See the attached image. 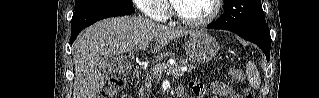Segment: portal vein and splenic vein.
<instances>
[{
    "label": "portal vein and splenic vein",
    "instance_id": "18ae733b",
    "mask_svg": "<svg viewBox=\"0 0 319 98\" xmlns=\"http://www.w3.org/2000/svg\"><path fill=\"white\" fill-rule=\"evenodd\" d=\"M148 44L149 42H143L142 44H140L138 49L143 50L148 46ZM162 71H168L176 77L181 76L183 74L182 70L174 66H170L169 64H159L154 68V72L156 75H159V73H161Z\"/></svg>",
    "mask_w": 319,
    "mask_h": 98
}]
</instances>
